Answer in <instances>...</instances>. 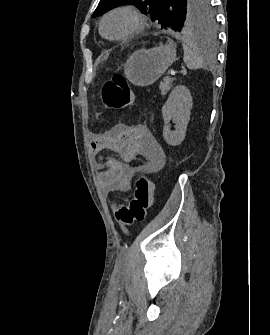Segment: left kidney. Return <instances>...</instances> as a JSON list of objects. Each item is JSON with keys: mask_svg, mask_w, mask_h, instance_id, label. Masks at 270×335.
Returning a JSON list of instances; mask_svg holds the SVG:
<instances>
[{"mask_svg": "<svg viewBox=\"0 0 270 335\" xmlns=\"http://www.w3.org/2000/svg\"><path fill=\"white\" fill-rule=\"evenodd\" d=\"M192 96L186 86H176L162 108L164 118L163 136L170 146L182 144L192 108ZM173 120L175 132H171L169 122Z\"/></svg>", "mask_w": 270, "mask_h": 335, "instance_id": "5707ae66", "label": "left kidney"}]
</instances>
